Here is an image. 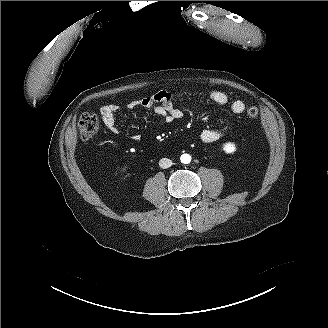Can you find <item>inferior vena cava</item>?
Wrapping results in <instances>:
<instances>
[{"mask_svg":"<svg viewBox=\"0 0 328 328\" xmlns=\"http://www.w3.org/2000/svg\"><path fill=\"white\" fill-rule=\"evenodd\" d=\"M172 164H173V162L168 158H163L159 161L160 167L164 168V169H167V168L171 167Z\"/></svg>","mask_w":328,"mask_h":328,"instance_id":"obj_1","label":"inferior vena cava"}]
</instances>
